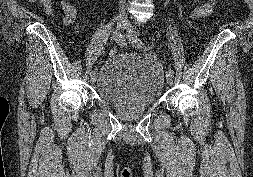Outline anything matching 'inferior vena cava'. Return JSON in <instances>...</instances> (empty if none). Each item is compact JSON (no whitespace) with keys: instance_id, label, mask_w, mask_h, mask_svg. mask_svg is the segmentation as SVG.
Segmentation results:
<instances>
[{"instance_id":"1","label":"inferior vena cava","mask_w":253,"mask_h":177,"mask_svg":"<svg viewBox=\"0 0 253 177\" xmlns=\"http://www.w3.org/2000/svg\"><path fill=\"white\" fill-rule=\"evenodd\" d=\"M125 0H119L120 4L123 5Z\"/></svg>"}]
</instances>
